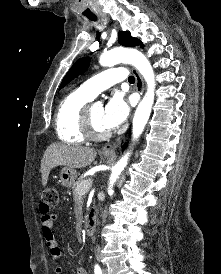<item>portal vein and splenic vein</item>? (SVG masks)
Wrapping results in <instances>:
<instances>
[{"label":"portal vein and splenic vein","mask_w":221,"mask_h":274,"mask_svg":"<svg viewBox=\"0 0 221 274\" xmlns=\"http://www.w3.org/2000/svg\"><path fill=\"white\" fill-rule=\"evenodd\" d=\"M90 187H91V181H89L86 185H84V186L81 188V192H82V193L88 192L89 189H90Z\"/></svg>","instance_id":"portal-vein-and-splenic-vein-1"}]
</instances>
